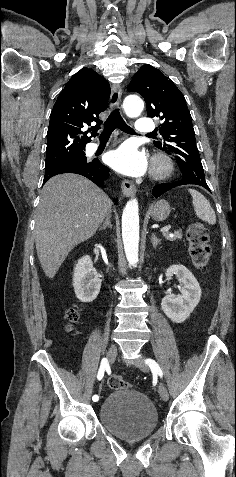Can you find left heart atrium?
<instances>
[{"label": "left heart atrium", "instance_id": "1", "mask_svg": "<svg viewBox=\"0 0 236 477\" xmlns=\"http://www.w3.org/2000/svg\"><path fill=\"white\" fill-rule=\"evenodd\" d=\"M106 162L116 171L129 176L143 175L148 168L146 154L130 142L108 152Z\"/></svg>", "mask_w": 236, "mask_h": 477}]
</instances>
